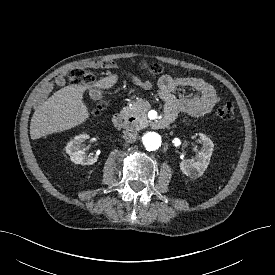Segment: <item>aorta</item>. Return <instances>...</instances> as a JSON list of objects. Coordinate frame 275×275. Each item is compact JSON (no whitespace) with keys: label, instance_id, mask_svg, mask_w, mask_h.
Returning a JSON list of instances; mask_svg holds the SVG:
<instances>
[{"label":"aorta","instance_id":"obj_1","mask_svg":"<svg viewBox=\"0 0 275 275\" xmlns=\"http://www.w3.org/2000/svg\"><path fill=\"white\" fill-rule=\"evenodd\" d=\"M143 144L148 151H155L159 149L162 144L161 136L155 132H147L144 134Z\"/></svg>","mask_w":275,"mask_h":275}]
</instances>
